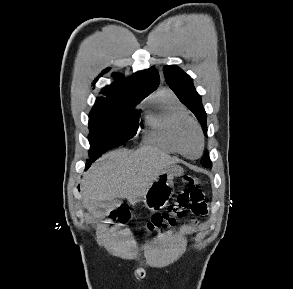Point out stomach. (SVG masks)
Returning a JSON list of instances; mask_svg holds the SVG:
<instances>
[{
  "instance_id": "0dacf381",
  "label": "stomach",
  "mask_w": 293,
  "mask_h": 289,
  "mask_svg": "<svg viewBox=\"0 0 293 289\" xmlns=\"http://www.w3.org/2000/svg\"><path fill=\"white\" fill-rule=\"evenodd\" d=\"M183 172V168L176 165L165 168L143 196L145 206L152 211L164 208L173 194L174 177L181 176Z\"/></svg>"
}]
</instances>
